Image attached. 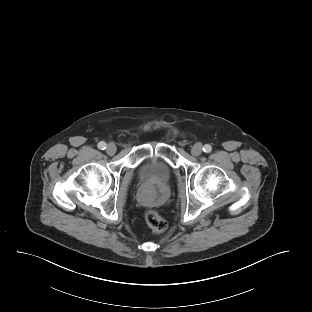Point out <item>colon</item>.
<instances>
[{
	"instance_id": "obj_1",
	"label": "colon",
	"mask_w": 312,
	"mask_h": 312,
	"mask_svg": "<svg viewBox=\"0 0 312 312\" xmlns=\"http://www.w3.org/2000/svg\"><path fill=\"white\" fill-rule=\"evenodd\" d=\"M145 222L155 233H162L167 229L166 220L156 210H148L145 213Z\"/></svg>"
}]
</instances>
